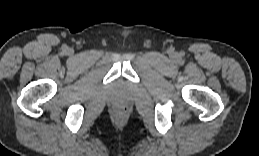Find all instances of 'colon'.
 Returning a JSON list of instances; mask_svg holds the SVG:
<instances>
[{
  "instance_id": "5ec220e1",
  "label": "colon",
  "mask_w": 259,
  "mask_h": 156,
  "mask_svg": "<svg viewBox=\"0 0 259 156\" xmlns=\"http://www.w3.org/2000/svg\"><path fill=\"white\" fill-rule=\"evenodd\" d=\"M123 113V110H119V114H122Z\"/></svg>"
}]
</instances>
